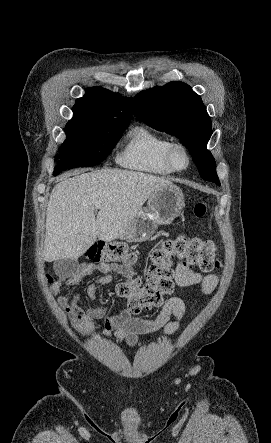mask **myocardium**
Returning a JSON list of instances; mask_svg holds the SVG:
<instances>
[{
	"instance_id": "f54148a6",
	"label": "myocardium",
	"mask_w": 271,
	"mask_h": 443,
	"mask_svg": "<svg viewBox=\"0 0 271 443\" xmlns=\"http://www.w3.org/2000/svg\"><path fill=\"white\" fill-rule=\"evenodd\" d=\"M177 148L183 149L188 157V165L185 168L178 167L175 162L174 153ZM165 155H166L167 162L169 163L171 168L176 172H184V171L188 170L193 163V156H192L190 149L188 148V146L186 144H184L180 141H171L166 149Z\"/></svg>"
}]
</instances>
